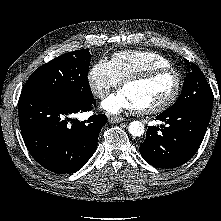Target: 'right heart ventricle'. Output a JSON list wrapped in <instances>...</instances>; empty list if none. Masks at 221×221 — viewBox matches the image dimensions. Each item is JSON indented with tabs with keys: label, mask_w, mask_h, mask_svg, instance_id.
Masks as SVG:
<instances>
[{
	"label": "right heart ventricle",
	"mask_w": 221,
	"mask_h": 221,
	"mask_svg": "<svg viewBox=\"0 0 221 221\" xmlns=\"http://www.w3.org/2000/svg\"><path fill=\"white\" fill-rule=\"evenodd\" d=\"M120 82L125 78L158 67H171V62L163 55L144 50H124L116 52L109 61Z\"/></svg>",
	"instance_id": "1"
}]
</instances>
